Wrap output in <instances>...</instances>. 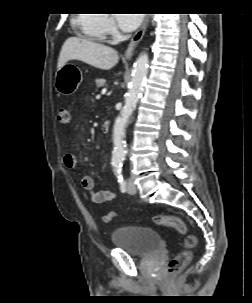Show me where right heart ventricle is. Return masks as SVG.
Listing matches in <instances>:
<instances>
[{"label":"right heart ventricle","mask_w":252,"mask_h":303,"mask_svg":"<svg viewBox=\"0 0 252 303\" xmlns=\"http://www.w3.org/2000/svg\"><path fill=\"white\" fill-rule=\"evenodd\" d=\"M74 19L75 24L83 31L84 34L102 39L105 33L100 27V22L103 15L100 14H79Z\"/></svg>","instance_id":"1"}]
</instances>
